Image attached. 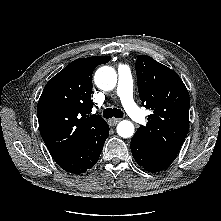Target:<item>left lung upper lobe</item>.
I'll use <instances>...</instances> for the list:
<instances>
[{
  "mask_svg": "<svg viewBox=\"0 0 221 221\" xmlns=\"http://www.w3.org/2000/svg\"><path fill=\"white\" fill-rule=\"evenodd\" d=\"M136 73L142 104L153 114L134 136L156 152L176 156L189 129V93L175 71L150 56L137 57Z\"/></svg>",
  "mask_w": 221,
  "mask_h": 221,
  "instance_id": "1",
  "label": "left lung upper lobe"
}]
</instances>
